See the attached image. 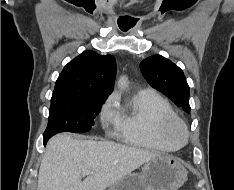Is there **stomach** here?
Masks as SVG:
<instances>
[{
  "mask_svg": "<svg viewBox=\"0 0 234 190\" xmlns=\"http://www.w3.org/2000/svg\"><path fill=\"white\" fill-rule=\"evenodd\" d=\"M187 181L184 166L171 156H159L144 163L141 173H130L108 190H178Z\"/></svg>",
  "mask_w": 234,
  "mask_h": 190,
  "instance_id": "stomach-1",
  "label": "stomach"
}]
</instances>
